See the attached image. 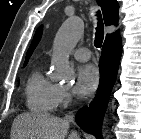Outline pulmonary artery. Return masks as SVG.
I'll list each match as a JSON object with an SVG mask.
<instances>
[{
  "instance_id": "1",
  "label": "pulmonary artery",
  "mask_w": 141,
  "mask_h": 139,
  "mask_svg": "<svg viewBox=\"0 0 141 139\" xmlns=\"http://www.w3.org/2000/svg\"><path fill=\"white\" fill-rule=\"evenodd\" d=\"M72 54L79 61H87L91 57L90 50L85 47L74 50Z\"/></svg>"
}]
</instances>
